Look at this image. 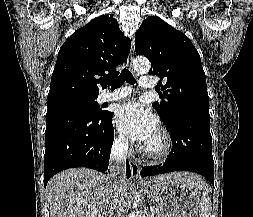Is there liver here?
Here are the masks:
<instances>
[{
	"instance_id": "obj_1",
	"label": "liver",
	"mask_w": 253,
	"mask_h": 217,
	"mask_svg": "<svg viewBox=\"0 0 253 217\" xmlns=\"http://www.w3.org/2000/svg\"><path fill=\"white\" fill-rule=\"evenodd\" d=\"M169 177L179 178L194 187L205 186L200 177L190 172L160 175L151 181ZM111 182L108 176L87 168H72L55 175L47 185L50 217H113ZM128 190V183L123 180L120 212Z\"/></svg>"
}]
</instances>
